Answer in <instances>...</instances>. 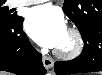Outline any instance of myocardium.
<instances>
[{
  "instance_id": "myocardium-1",
  "label": "myocardium",
  "mask_w": 102,
  "mask_h": 75,
  "mask_svg": "<svg viewBox=\"0 0 102 75\" xmlns=\"http://www.w3.org/2000/svg\"><path fill=\"white\" fill-rule=\"evenodd\" d=\"M67 34L72 38L73 45L68 50L57 49L56 54L66 60L77 57L83 50L84 40L80 31L74 27L67 29Z\"/></svg>"
}]
</instances>
